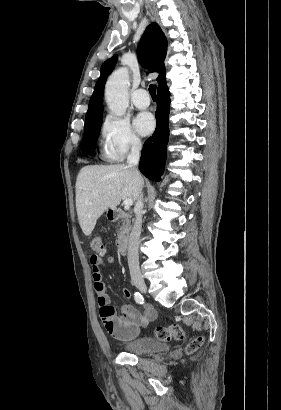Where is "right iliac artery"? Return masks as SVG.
Returning <instances> with one entry per match:
<instances>
[{
  "label": "right iliac artery",
  "mask_w": 281,
  "mask_h": 410,
  "mask_svg": "<svg viewBox=\"0 0 281 410\" xmlns=\"http://www.w3.org/2000/svg\"><path fill=\"white\" fill-rule=\"evenodd\" d=\"M134 299L138 304H143L144 303V298L139 292L134 293Z\"/></svg>",
  "instance_id": "obj_1"
}]
</instances>
